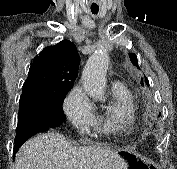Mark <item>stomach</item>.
<instances>
[{
	"label": "stomach",
	"instance_id": "stomach-1",
	"mask_svg": "<svg viewBox=\"0 0 177 169\" xmlns=\"http://www.w3.org/2000/svg\"><path fill=\"white\" fill-rule=\"evenodd\" d=\"M123 159L127 162L126 169H145L146 164L140 161L135 155L129 153H122Z\"/></svg>",
	"mask_w": 177,
	"mask_h": 169
}]
</instances>
